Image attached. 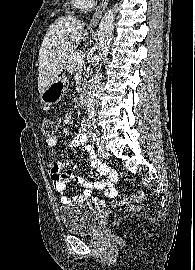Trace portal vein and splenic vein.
Listing matches in <instances>:
<instances>
[{
  "mask_svg": "<svg viewBox=\"0 0 195 270\" xmlns=\"http://www.w3.org/2000/svg\"><path fill=\"white\" fill-rule=\"evenodd\" d=\"M85 58V54L82 51H77L74 53V60L81 62L83 61Z\"/></svg>",
  "mask_w": 195,
  "mask_h": 270,
  "instance_id": "1",
  "label": "portal vein and splenic vein"
}]
</instances>
